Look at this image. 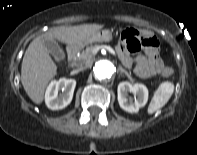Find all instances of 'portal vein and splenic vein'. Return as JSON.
<instances>
[{"mask_svg": "<svg viewBox=\"0 0 197 155\" xmlns=\"http://www.w3.org/2000/svg\"><path fill=\"white\" fill-rule=\"evenodd\" d=\"M107 50L112 54L115 55V51L111 47H107Z\"/></svg>", "mask_w": 197, "mask_h": 155, "instance_id": "1", "label": "portal vein and splenic vein"}]
</instances>
